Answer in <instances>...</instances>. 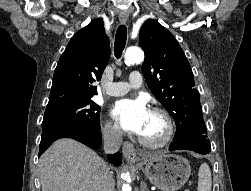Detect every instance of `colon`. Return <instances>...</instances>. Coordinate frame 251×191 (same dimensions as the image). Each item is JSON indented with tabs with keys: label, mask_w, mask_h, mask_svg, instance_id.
I'll list each match as a JSON object with an SVG mask.
<instances>
[{
	"label": "colon",
	"mask_w": 251,
	"mask_h": 191,
	"mask_svg": "<svg viewBox=\"0 0 251 191\" xmlns=\"http://www.w3.org/2000/svg\"><path fill=\"white\" fill-rule=\"evenodd\" d=\"M184 191H190V189L186 188V189H184Z\"/></svg>",
	"instance_id": "obj_1"
}]
</instances>
